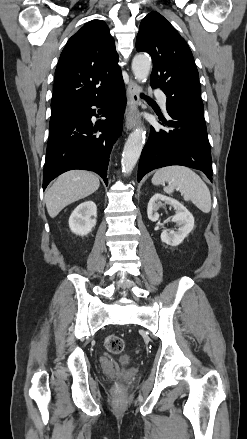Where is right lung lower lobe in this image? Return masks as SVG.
<instances>
[{
	"label": "right lung lower lobe",
	"mask_w": 247,
	"mask_h": 439,
	"mask_svg": "<svg viewBox=\"0 0 247 439\" xmlns=\"http://www.w3.org/2000/svg\"><path fill=\"white\" fill-rule=\"evenodd\" d=\"M125 104L122 80L109 93L74 105L50 119L43 190L58 175L72 169L94 171L107 185L109 155L121 134ZM93 106L103 109L105 120L91 121L96 115Z\"/></svg>",
	"instance_id": "98d812e1"
}]
</instances>
